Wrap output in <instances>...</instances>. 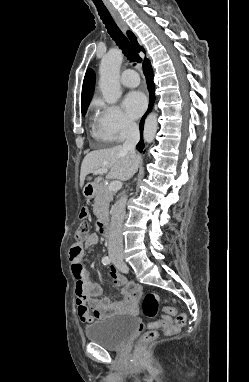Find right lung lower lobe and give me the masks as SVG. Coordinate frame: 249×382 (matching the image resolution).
I'll use <instances>...</instances> for the list:
<instances>
[{
  "mask_svg": "<svg viewBox=\"0 0 249 382\" xmlns=\"http://www.w3.org/2000/svg\"><path fill=\"white\" fill-rule=\"evenodd\" d=\"M143 70H144V74L146 76L148 90H149V94H150L149 108H148V111H147V113H148V112L151 111L153 103L155 101V89H154V83H153V71H152V67H151L150 61L148 59H145V61H144ZM147 113L142 117V119L140 121L139 127H140L141 137H142V132H143L144 120H145V117H146ZM136 148L138 149L139 152L143 151L144 143H143L142 138H141L140 142L137 144Z\"/></svg>",
  "mask_w": 249,
  "mask_h": 382,
  "instance_id": "obj_1",
  "label": "right lung lower lobe"
}]
</instances>
